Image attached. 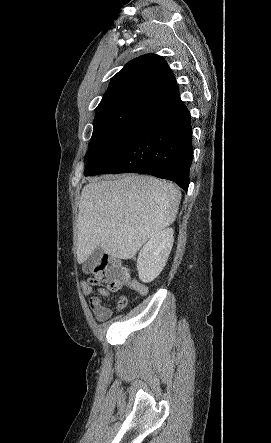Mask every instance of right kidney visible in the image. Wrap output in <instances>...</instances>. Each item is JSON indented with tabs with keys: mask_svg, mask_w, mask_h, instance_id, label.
<instances>
[{
	"mask_svg": "<svg viewBox=\"0 0 271 443\" xmlns=\"http://www.w3.org/2000/svg\"><path fill=\"white\" fill-rule=\"evenodd\" d=\"M174 229L167 227L141 247L137 259V269L141 281H153L162 271L172 249Z\"/></svg>",
	"mask_w": 271,
	"mask_h": 443,
	"instance_id": "obj_1",
	"label": "right kidney"
}]
</instances>
